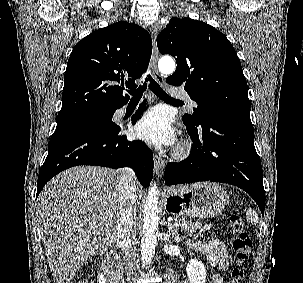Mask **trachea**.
Here are the masks:
<instances>
[{
    "label": "trachea",
    "instance_id": "1",
    "mask_svg": "<svg viewBox=\"0 0 303 283\" xmlns=\"http://www.w3.org/2000/svg\"><path fill=\"white\" fill-rule=\"evenodd\" d=\"M148 81L150 82L149 89L159 98L173 103H182V101L176 100L167 95L166 92L159 86V84L151 77L150 74H148L145 78L143 85H140L136 90L129 91V93L132 95L131 101H139L141 99L143 92L147 88Z\"/></svg>",
    "mask_w": 303,
    "mask_h": 283
}]
</instances>
